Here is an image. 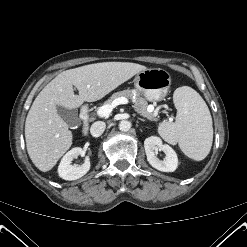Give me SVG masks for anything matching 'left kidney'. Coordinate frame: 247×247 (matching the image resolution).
<instances>
[{"label":"left kidney","mask_w":247,"mask_h":247,"mask_svg":"<svg viewBox=\"0 0 247 247\" xmlns=\"http://www.w3.org/2000/svg\"><path fill=\"white\" fill-rule=\"evenodd\" d=\"M144 148L149 164L162 172H174L178 166V157L176 152L157 136H150L144 141ZM162 150L165 153L164 160L157 158L155 151Z\"/></svg>","instance_id":"left-kidney-1"}]
</instances>
